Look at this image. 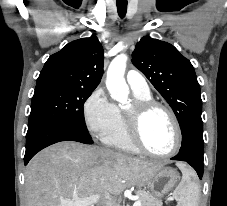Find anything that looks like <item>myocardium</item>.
I'll use <instances>...</instances> for the list:
<instances>
[{
  "mask_svg": "<svg viewBox=\"0 0 227 206\" xmlns=\"http://www.w3.org/2000/svg\"><path fill=\"white\" fill-rule=\"evenodd\" d=\"M154 109L163 110L171 119L175 129L174 147L172 148L171 151L163 154L151 151L145 145L142 138V129L145 118ZM123 114L128 138L138 151L152 157L167 158L175 155L180 149L182 144L181 126L173 110L166 104L154 99L147 100L135 99L131 106Z\"/></svg>",
  "mask_w": 227,
  "mask_h": 206,
  "instance_id": "f54148a6",
  "label": "myocardium"
}]
</instances>
